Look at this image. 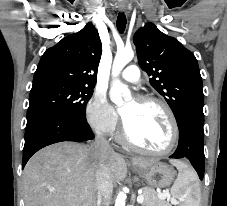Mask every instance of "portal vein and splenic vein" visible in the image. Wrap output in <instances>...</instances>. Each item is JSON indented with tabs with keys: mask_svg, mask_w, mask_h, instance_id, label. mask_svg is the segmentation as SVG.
<instances>
[{
	"mask_svg": "<svg viewBox=\"0 0 227 206\" xmlns=\"http://www.w3.org/2000/svg\"><path fill=\"white\" fill-rule=\"evenodd\" d=\"M138 197H137V202L139 203V204H141V203H143V201H144V196L142 195V191H139L138 192ZM158 196H159V198H161V199H165L166 197H169V193L168 192H166V193H159L158 194ZM171 202L172 203H176V201L175 200H171Z\"/></svg>",
	"mask_w": 227,
	"mask_h": 206,
	"instance_id": "1",
	"label": "portal vein and splenic vein"
}]
</instances>
